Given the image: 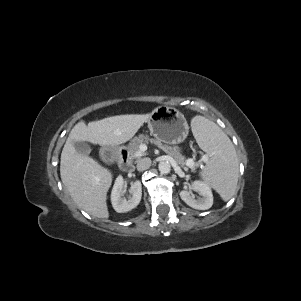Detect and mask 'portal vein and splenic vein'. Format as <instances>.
I'll use <instances>...</instances> for the list:
<instances>
[{
	"mask_svg": "<svg viewBox=\"0 0 301 301\" xmlns=\"http://www.w3.org/2000/svg\"><path fill=\"white\" fill-rule=\"evenodd\" d=\"M146 150V145H140L139 151L136 153V156H141L142 152ZM202 161H207L208 160V156L207 155H203L201 158ZM187 166L189 167H193L195 165L194 161L192 159H188L186 162Z\"/></svg>",
	"mask_w": 301,
	"mask_h": 301,
	"instance_id": "obj_1",
	"label": "portal vein and splenic vein"
}]
</instances>
